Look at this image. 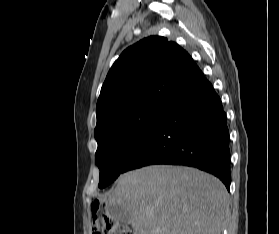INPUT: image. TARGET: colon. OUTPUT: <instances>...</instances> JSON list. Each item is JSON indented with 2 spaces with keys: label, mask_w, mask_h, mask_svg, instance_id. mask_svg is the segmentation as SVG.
<instances>
[{
  "label": "colon",
  "mask_w": 279,
  "mask_h": 234,
  "mask_svg": "<svg viewBox=\"0 0 279 234\" xmlns=\"http://www.w3.org/2000/svg\"><path fill=\"white\" fill-rule=\"evenodd\" d=\"M93 234H133L126 226L112 217L108 210L98 204L92 207Z\"/></svg>",
  "instance_id": "obj_1"
}]
</instances>
